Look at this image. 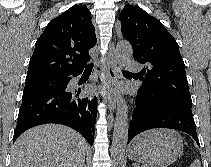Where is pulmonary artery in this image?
<instances>
[{
    "instance_id": "1",
    "label": "pulmonary artery",
    "mask_w": 211,
    "mask_h": 167,
    "mask_svg": "<svg viewBox=\"0 0 211 167\" xmlns=\"http://www.w3.org/2000/svg\"><path fill=\"white\" fill-rule=\"evenodd\" d=\"M125 66L130 70H137L138 69L137 63L132 59L125 60Z\"/></svg>"
}]
</instances>
